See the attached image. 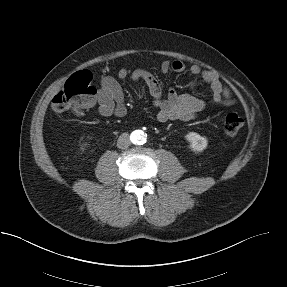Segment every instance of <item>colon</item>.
Listing matches in <instances>:
<instances>
[{"instance_id": "colon-1", "label": "colon", "mask_w": 287, "mask_h": 287, "mask_svg": "<svg viewBox=\"0 0 287 287\" xmlns=\"http://www.w3.org/2000/svg\"><path fill=\"white\" fill-rule=\"evenodd\" d=\"M97 94L92 74L86 70L79 71L73 74L54 96L52 109L59 114L71 109L79 112L93 105ZM219 122L222 130L228 135L237 134L244 124L242 117L233 112L220 113Z\"/></svg>"}]
</instances>
